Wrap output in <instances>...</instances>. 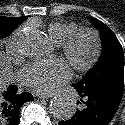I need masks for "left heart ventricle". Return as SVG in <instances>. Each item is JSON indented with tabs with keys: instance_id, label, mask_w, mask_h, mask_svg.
Instances as JSON below:
<instances>
[{
	"instance_id": "1",
	"label": "left heart ventricle",
	"mask_w": 125,
	"mask_h": 125,
	"mask_svg": "<svg viewBox=\"0 0 125 125\" xmlns=\"http://www.w3.org/2000/svg\"><path fill=\"white\" fill-rule=\"evenodd\" d=\"M91 48V42L89 38H83L78 45V54L81 58L87 56Z\"/></svg>"
}]
</instances>
